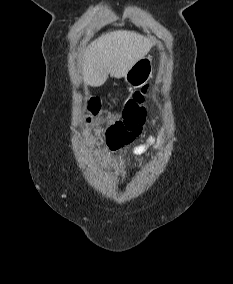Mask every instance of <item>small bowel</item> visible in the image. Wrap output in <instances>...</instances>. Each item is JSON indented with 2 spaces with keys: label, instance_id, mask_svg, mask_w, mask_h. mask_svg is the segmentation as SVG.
Here are the masks:
<instances>
[{
  "label": "small bowel",
  "instance_id": "c3829d8e",
  "mask_svg": "<svg viewBox=\"0 0 233 284\" xmlns=\"http://www.w3.org/2000/svg\"><path fill=\"white\" fill-rule=\"evenodd\" d=\"M163 136V130H161L156 136L148 137L146 143L135 146L132 149V154L135 157H141L148 149L158 148L161 145V140ZM112 167L115 171H118V164L112 163Z\"/></svg>",
  "mask_w": 233,
  "mask_h": 284
}]
</instances>
